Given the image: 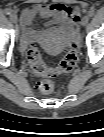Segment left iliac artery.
Returning <instances> with one entry per match:
<instances>
[{"label":"left iliac artery","mask_w":104,"mask_h":137,"mask_svg":"<svg viewBox=\"0 0 104 137\" xmlns=\"http://www.w3.org/2000/svg\"><path fill=\"white\" fill-rule=\"evenodd\" d=\"M94 14H95V13H94V10H89V11H88V16H89V17L94 16Z\"/></svg>","instance_id":"44dca946"}]
</instances>
